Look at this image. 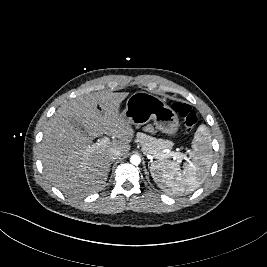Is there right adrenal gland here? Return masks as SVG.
I'll use <instances>...</instances> for the list:
<instances>
[{
  "label": "right adrenal gland",
  "instance_id": "right-adrenal-gland-1",
  "mask_svg": "<svg viewBox=\"0 0 267 267\" xmlns=\"http://www.w3.org/2000/svg\"><path fill=\"white\" fill-rule=\"evenodd\" d=\"M113 162H114V161H111V162H110V165H109V171H110V167H111V165L113 164Z\"/></svg>",
  "mask_w": 267,
  "mask_h": 267
}]
</instances>
